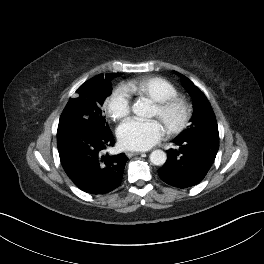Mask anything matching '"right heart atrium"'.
Returning <instances> with one entry per match:
<instances>
[{
	"label": "right heart atrium",
	"instance_id": "right-heart-atrium-1",
	"mask_svg": "<svg viewBox=\"0 0 264 264\" xmlns=\"http://www.w3.org/2000/svg\"><path fill=\"white\" fill-rule=\"evenodd\" d=\"M109 116L119 121L126 118L131 111V95L125 86L117 87L106 100Z\"/></svg>",
	"mask_w": 264,
	"mask_h": 264
}]
</instances>
